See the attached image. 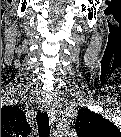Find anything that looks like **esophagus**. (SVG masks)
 <instances>
[{
  "label": "esophagus",
  "instance_id": "esophagus-1",
  "mask_svg": "<svg viewBox=\"0 0 121 137\" xmlns=\"http://www.w3.org/2000/svg\"><path fill=\"white\" fill-rule=\"evenodd\" d=\"M48 108V103L46 101H41V109L46 110Z\"/></svg>",
  "mask_w": 121,
  "mask_h": 137
}]
</instances>
